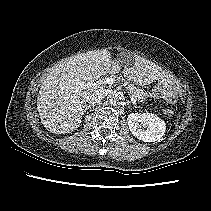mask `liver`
<instances>
[{
	"label": "liver",
	"mask_w": 211,
	"mask_h": 211,
	"mask_svg": "<svg viewBox=\"0 0 211 211\" xmlns=\"http://www.w3.org/2000/svg\"><path fill=\"white\" fill-rule=\"evenodd\" d=\"M126 57L122 73L128 81L135 78L149 85L170 77L161 67L145 58ZM132 61L137 69L127 67ZM119 64L120 61H113L106 49L80 53L58 63L46 75L37 97V110L44 127L54 134L76 130L81 124L87 97L104 89L101 85L93 87L88 83L96 82L107 74H117Z\"/></svg>",
	"instance_id": "liver-1"
}]
</instances>
